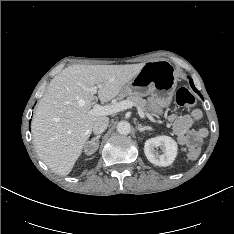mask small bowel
Returning a JSON list of instances; mask_svg holds the SVG:
<instances>
[{
    "mask_svg": "<svg viewBox=\"0 0 234 234\" xmlns=\"http://www.w3.org/2000/svg\"><path fill=\"white\" fill-rule=\"evenodd\" d=\"M151 104L155 112H159L155 101L152 99ZM202 118V112L199 109L193 110L189 114L169 116V120L173 123L174 132L178 141L183 146H190L200 143L208 134L205 128H194L193 126Z\"/></svg>",
    "mask_w": 234,
    "mask_h": 234,
    "instance_id": "small-bowel-1",
    "label": "small bowel"
}]
</instances>
